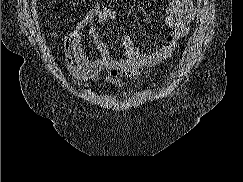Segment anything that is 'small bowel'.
<instances>
[{
  "label": "small bowel",
  "mask_w": 243,
  "mask_h": 182,
  "mask_svg": "<svg viewBox=\"0 0 243 182\" xmlns=\"http://www.w3.org/2000/svg\"><path fill=\"white\" fill-rule=\"evenodd\" d=\"M116 11L102 8L94 3L75 29L67 36L65 45L66 65L70 74L82 82H105L123 87L121 75L137 77L145 69L160 65L172 56L179 42L189 34L190 23L195 17L193 0H169L164 13V23L170 33L163 42L153 45L151 53L146 54L135 44L129 35L121 37L122 50L118 58L113 59L107 45L102 41L96 29L95 21L107 22L117 18ZM92 38L97 56L88 57L83 46L84 30Z\"/></svg>",
  "instance_id": "c3829d8e"
}]
</instances>
